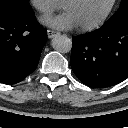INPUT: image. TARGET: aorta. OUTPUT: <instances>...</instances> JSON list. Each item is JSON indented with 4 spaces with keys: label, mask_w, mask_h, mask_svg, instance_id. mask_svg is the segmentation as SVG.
<instances>
[{
    "label": "aorta",
    "mask_w": 128,
    "mask_h": 128,
    "mask_svg": "<svg viewBox=\"0 0 128 128\" xmlns=\"http://www.w3.org/2000/svg\"><path fill=\"white\" fill-rule=\"evenodd\" d=\"M52 47L60 53H68L72 48V41L65 35H57L52 39Z\"/></svg>",
    "instance_id": "1"
}]
</instances>
